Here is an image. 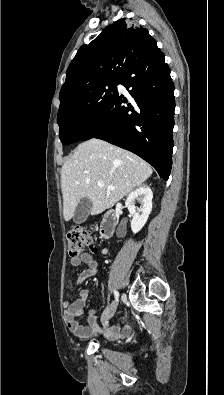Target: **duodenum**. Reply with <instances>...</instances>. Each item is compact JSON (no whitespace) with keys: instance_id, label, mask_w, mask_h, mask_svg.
<instances>
[{"instance_id":"obj_1","label":"duodenum","mask_w":224,"mask_h":395,"mask_svg":"<svg viewBox=\"0 0 224 395\" xmlns=\"http://www.w3.org/2000/svg\"><path fill=\"white\" fill-rule=\"evenodd\" d=\"M118 214L116 210L110 209L107 210L102 218L100 234L104 239H109L113 237L116 224H117Z\"/></svg>"}]
</instances>
